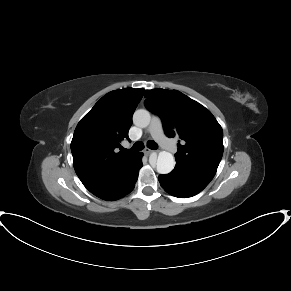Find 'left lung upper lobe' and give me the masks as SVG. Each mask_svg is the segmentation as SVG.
Listing matches in <instances>:
<instances>
[{
	"instance_id": "1",
	"label": "left lung upper lobe",
	"mask_w": 291,
	"mask_h": 291,
	"mask_svg": "<svg viewBox=\"0 0 291 291\" xmlns=\"http://www.w3.org/2000/svg\"><path fill=\"white\" fill-rule=\"evenodd\" d=\"M145 97L146 108L161 117L165 134L182 140L176 163L216 173L223 131L212 113L177 90H146Z\"/></svg>"
}]
</instances>
